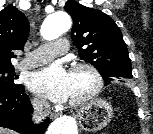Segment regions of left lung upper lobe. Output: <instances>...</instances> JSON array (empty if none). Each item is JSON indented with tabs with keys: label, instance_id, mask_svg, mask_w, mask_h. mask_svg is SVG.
Segmentation results:
<instances>
[{
	"label": "left lung upper lobe",
	"instance_id": "left-lung-upper-lobe-1",
	"mask_svg": "<svg viewBox=\"0 0 153 134\" xmlns=\"http://www.w3.org/2000/svg\"><path fill=\"white\" fill-rule=\"evenodd\" d=\"M65 10L74 22L71 36L79 56L96 67L104 85L133 78L127 46L114 20L74 0L66 2Z\"/></svg>",
	"mask_w": 153,
	"mask_h": 134
}]
</instances>
